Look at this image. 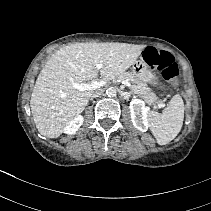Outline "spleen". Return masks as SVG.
<instances>
[{"label": "spleen", "mask_w": 211, "mask_h": 211, "mask_svg": "<svg viewBox=\"0 0 211 211\" xmlns=\"http://www.w3.org/2000/svg\"><path fill=\"white\" fill-rule=\"evenodd\" d=\"M184 119V103L182 97L176 94L169 105L158 113L150 111L148 124L159 145L168 144L180 132Z\"/></svg>", "instance_id": "spleen-1"}]
</instances>
